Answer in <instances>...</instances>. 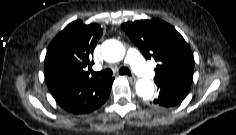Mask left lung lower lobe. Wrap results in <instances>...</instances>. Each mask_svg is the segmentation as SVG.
Wrapping results in <instances>:
<instances>
[{"instance_id":"obj_1","label":"left lung lower lobe","mask_w":236,"mask_h":135,"mask_svg":"<svg viewBox=\"0 0 236 135\" xmlns=\"http://www.w3.org/2000/svg\"><path fill=\"white\" fill-rule=\"evenodd\" d=\"M159 95L151 104L155 107L171 108L179 105L187 96L191 79L172 78L156 82Z\"/></svg>"}]
</instances>
